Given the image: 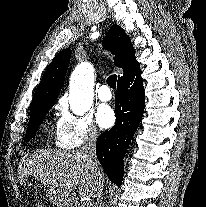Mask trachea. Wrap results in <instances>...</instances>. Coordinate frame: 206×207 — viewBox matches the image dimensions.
<instances>
[{"label": "trachea", "mask_w": 206, "mask_h": 207, "mask_svg": "<svg viewBox=\"0 0 206 207\" xmlns=\"http://www.w3.org/2000/svg\"><path fill=\"white\" fill-rule=\"evenodd\" d=\"M116 82H117V75H116V74L110 75V76L107 78V84H108L111 88H116Z\"/></svg>", "instance_id": "3493384b"}]
</instances>
